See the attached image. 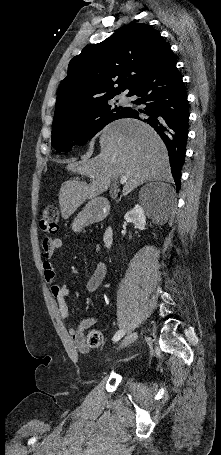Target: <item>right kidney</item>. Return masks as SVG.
Listing matches in <instances>:
<instances>
[{"mask_svg":"<svg viewBox=\"0 0 221 455\" xmlns=\"http://www.w3.org/2000/svg\"><path fill=\"white\" fill-rule=\"evenodd\" d=\"M124 219L133 222L139 230H145L146 217L143 208L139 204H136L132 210L128 211Z\"/></svg>","mask_w":221,"mask_h":455,"instance_id":"right-kidney-1","label":"right kidney"}]
</instances>
